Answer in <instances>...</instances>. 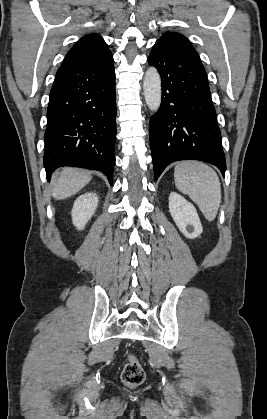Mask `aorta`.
I'll list each match as a JSON object with an SVG mask.
<instances>
[{
  "mask_svg": "<svg viewBox=\"0 0 267 419\" xmlns=\"http://www.w3.org/2000/svg\"><path fill=\"white\" fill-rule=\"evenodd\" d=\"M144 96L148 108L158 111L161 104V78L155 67H149L145 72L143 82Z\"/></svg>",
  "mask_w": 267,
  "mask_h": 419,
  "instance_id": "762f6f07",
  "label": "aorta"
}]
</instances>
